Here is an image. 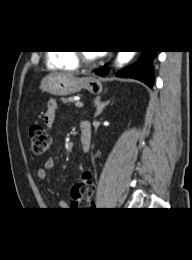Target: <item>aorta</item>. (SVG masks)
<instances>
[{"instance_id": "1", "label": "aorta", "mask_w": 192, "mask_h": 260, "mask_svg": "<svg viewBox=\"0 0 192 260\" xmlns=\"http://www.w3.org/2000/svg\"><path fill=\"white\" fill-rule=\"evenodd\" d=\"M135 55V51H119L117 55V64L123 65L128 63Z\"/></svg>"}]
</instances>
